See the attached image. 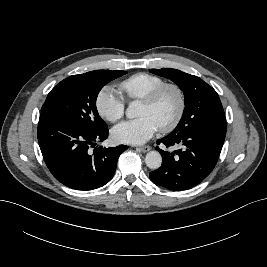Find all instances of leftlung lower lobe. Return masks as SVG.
Returning <instances> with one entry per match:
<instances>
[{"instance_id": "obj_1", "label": "left lung lower lobe", "mask_w": 267, "mask_h": 267, "mask_svg": "<svg viewBox=\"0 0 267 267\" xmlns=\"http://www.w3.org/2000/svg\"><path fill=\"white\" fill-rule=\"evenodd\" d=\"M226 136V127L197 128L189 132L157 140L167 148L182 146L173 153L156 149L162 154L161 167L150 172L157 185L173 191L190 189L203 181L214 169Z\"/></svg>"}]
</instances>
